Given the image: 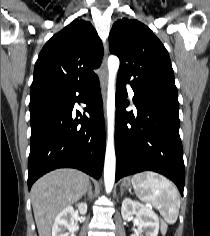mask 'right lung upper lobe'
I'll return each instance as SVG.
<instances>
[{
    "mask_svg": "<svg viewBox=\"0 0 210 236\" xmlns=\"http://www.w3.org/2000/svg\"><path fill=\"white\" fill-rule=\"evenodd\" d=\"M102 56V42L91 23L75 19L42 48L30 95L45 88L66 92L89 82Z\"/></svg>",
    "mask_w": 210,
    "mask_h": 236,
    "instance_id": "1",
    "label": "right lung upper lobe"
}]
</instances>
